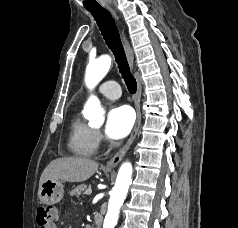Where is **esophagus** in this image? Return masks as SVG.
Wrapping results in <instances>:
<instances>
[{
	"mask_svg": "<svg viewBox=\"0 0 238 228\" xmlns=\"http://www.w3.org/2000/svg\"><path fill=\"white\" fill-rule=\"evenodd\" d=\"M111 12L113 16L115 17V19L118 20L116 12L113 9H111ZM121 37H122V43L125 49L128 63L130 65L131 70H133L134 69V54H133L132 47L123 31H121ZM141 92H142V87H141L140 81L137 80V91L134 95V105H135V109L137 113V118H136L134 128L126 144L106 163L107 168H114L121 162V160L125 156L126 152L130 148L132 142L134 141L137 135L138 129L141 124V110H140Z\"/></svg>",
	"mask_w": 238,
	"mask_h": 228,
	"instance_id": "esophagus-1",
	"label": "esophagus"
}]
</instances>
